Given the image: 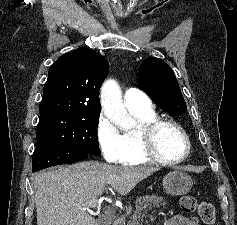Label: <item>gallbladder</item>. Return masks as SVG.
Instances as JSON below:
<instances>
[{
	"label": "gallbladder",
	"instance_id": "bac80fb5",
	"mask_svg": "<svg viewBox=\"0 0 237 225\" xmlns=\"http://www.w3.org/2000/svg\"><path fill=\"white\" fill-rule=\"evenodd\" d=\"M99 223H100L99 225H110L111 220L107 217H101L99 219Z\"/></svg>",
	"mask_w": 237,
	"mask_h": 225
}]
</instances>
